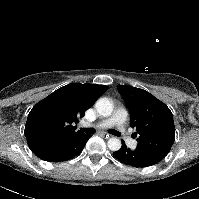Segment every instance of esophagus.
<instances>
[{
  "mask_svg": "<svg viewBox=\"0 0 199 199\" xmlns=\"http://www.w3.org/2000/svg\"><path fill=\"white\" fill-rule=\"evenodd\" d=\"M103 135H104L106 138H109V137H110V135L107 134V133H103Z\"/></svg>",
  "mask_w": 199,
  "mask_h": 199,
  "instance_id": "1",
  "label": "esophagus"
}]
</instances>
